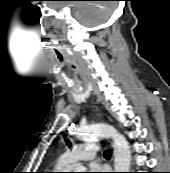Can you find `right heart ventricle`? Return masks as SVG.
Instances as JSON below:
<instances>
[{
    "mask_svg": "<svg viewBox=\"0 0 170 173\" xmlns=\"http://www.w3.org/2000/svg\"><path fill=\"white\" fill-rule=\"evenodd\" d=\"M64 165H67L65 162H64V160L62 159V158H60L59 160H58V163H57V169H60V168H63L64 167Z\"/></svg>",
    "mask_w": 170,
    "mask_h": 173,
    "instance_id": "right-heart-ventricle-1",
    "label": "right heart ventricle"
}]
</instances>
